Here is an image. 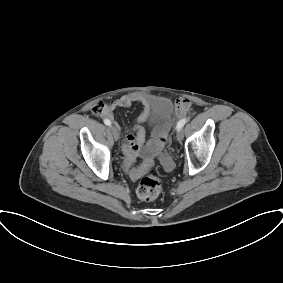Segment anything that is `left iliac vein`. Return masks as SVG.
Wrapping results in <instances>:
<instances>
[{"label":"left iliac vein","mask_w":283,"mask_h":283,"mask_svg":"<svg viewBox=\"0 0 283 283\" xmlns=\"http://www.w3.org/2000/svg\"><path fill=\"white\" fill-rule=\"evenodd\" d=\"M176 138H177V140H178L179 142H181V141L183 140V138H184V133H183V131L178 130L177 135H176Z\"/></svg>","instance_id":"obj_1"}]
</instances>
